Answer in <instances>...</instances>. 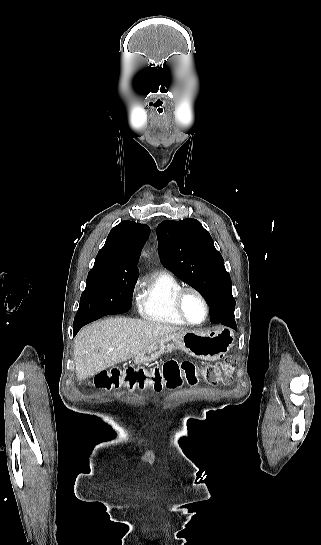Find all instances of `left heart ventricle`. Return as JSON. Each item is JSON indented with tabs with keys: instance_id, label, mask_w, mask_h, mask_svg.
I'll return each instance as SVG.
<instances>
[{
	"instance_id": "left-heart-ventricle-1",
	"label": "left heart ventricle",
	"mask_w": 321,
	"mask_h": 545,
	"mask_svg": "<svg viewBox=\"0 0 321 545\" xmlns=\"http://www.w3.org/2000/svg\"><path fill=\"white\" fill-rule=\"evenodd\" d=\"M182 310L185 316L192 322L203 319L205 309L200 298L193 292H188L182 300Z\"/></svg>"
}]
</instances>
